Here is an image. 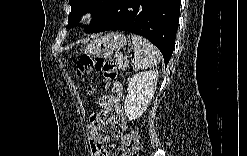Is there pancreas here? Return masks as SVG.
<instances>
[{"mask_svg":"<svg viewBox=\"0 0 247 156\" xmlns=\"http://www.w3.org/2000/svg\"><path fill=\"white\" fill-rule=\"evenodd\" d=\"M118 65H119L120 68H124L125 67L122 60L118 61Z\"/></svg>","mask_w":247,"mask_h":156,"instance_id":"1","label":"pancreas"}]
</instances>
